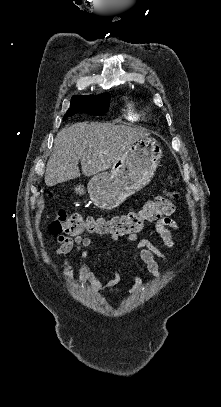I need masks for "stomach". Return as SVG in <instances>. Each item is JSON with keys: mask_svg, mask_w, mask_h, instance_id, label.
<instances>
[{"mask_svg": "<svg viewBox=\"0 0 221 407\" xmlns=\"http://www.w3.org/2000/svg\"><path fill=\"white\" fill-rule=\"evenodd\" d=\"M162 158V147L153 137H143L112 165L110 172L95 174L87 190L95 206L110 210L122 204L126 198L145 187L154 176ZM76 193L84 194L83 186L75 187Z\"/></svg>", "mask_w": 221, "mask_h": 407, "instance_id": "obj_1", "label": "stomach"}]
</instances>
